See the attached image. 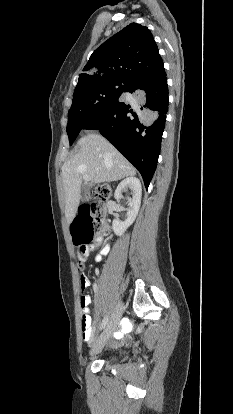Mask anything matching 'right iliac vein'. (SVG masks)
Returning <instances> with one entry per match:
<instances>
[{"label": "right iliac vein", "instance_id": "obj_1", "mask_svg": "<svg viewBox=\"0 0 233 414\" xmlns=\"http://www.w3.org/2000/svg\"><path fill=\"white\" fill-rule=\"evenodd\" d=\"M123 310H124L123 304L119 303L116 306L114 312L112 313V316L110 318L109 323L107 324L106 329L100 336V339L98 340V342L92 348V351H91L92 354L99 353L103 349L104 345L106 344V342L109 340L112 333L116 329V326L122 316Z\"/></svg>", "mask_w": 233, "mask_h": 414}]
</instances>
